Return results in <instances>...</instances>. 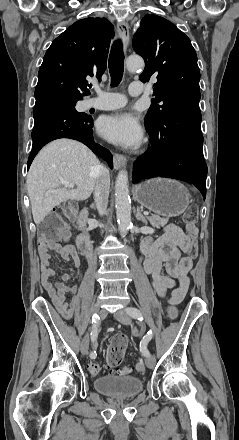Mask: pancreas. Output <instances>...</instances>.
<instances>
[{
    "mask_svg": "<svg viewBox=\"0 0 239 440\" xmlns=\"http://www.w3.org/2000/svg\"><path fill=\"white\" fill-rule=\"evenodd\" d=\"M147 220H149L151 226L153 228H160V226H166L167 222H169V218H160V216H146Z\"/></svg>",
    "mask_w": 239,
    "mask_h": 440,
    "instance_id": "1",
    "label": "pancreas"
}]
</instances>
